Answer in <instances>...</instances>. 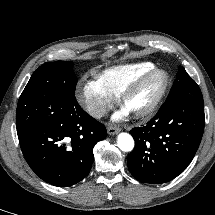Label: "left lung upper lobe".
<instances>
[{"instance_id": "obj_1", "label": "left lung upper lobe", "mask_w": 215, "mask_h": 215, "mask_svg": "<svg viewBox=\"0 0 215 215\" xmlns=\"http://www.w3.org/2000/svg\"><path fill=\"white\" fill-rule=\"evenodd\" d=\"M190 101L203 104L202 93L196 82L188 75L182 66H179V71L176 80L166 101Z\"/></svg>"}]
</instances>
